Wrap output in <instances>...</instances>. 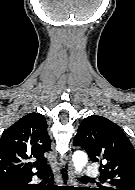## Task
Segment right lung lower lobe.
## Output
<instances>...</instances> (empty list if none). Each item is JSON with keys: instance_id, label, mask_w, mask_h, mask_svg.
I'll list each match as a JSON object with an SVG mask.
<instances>
[{"instance_id": "obj_1", "label": "right lung lower lobe", "mask_w": 135, "mask_h": 190, "mask_svg": "<svg viewBox=\"0 0 135 190\" xmlns=\"http://www.w3.org/2000/svg\"><path fill=\"white\" fill-rule=\"evenodd\" d=\"M48 174H51L50 169L46 172ZM37 174V176L39 178H43L44 175L46 174ZM32 179V176L28 177V178H23V177H12V178H7L5 180H1L0 181V190H33L36 188H32L30 186H28V182H30ZM10 180H13L17 183V185H7L12 184L11 182H9ZM47 190H56V186L53 185V177H51L50 179V184L47 186L46 188Z\"/></svg>"}]
</instances>
